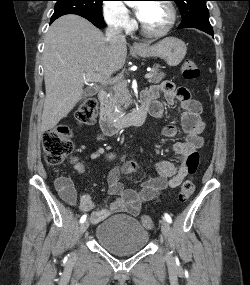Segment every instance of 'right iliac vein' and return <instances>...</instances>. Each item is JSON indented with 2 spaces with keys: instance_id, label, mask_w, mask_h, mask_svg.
Instances as JSON below:
<instances>
[{
  "instance_id": "1",
  "label": "right iliac vein",
  "mask_w": 250,
  "mask_h": 285,
  "mask_svg": "<svg viewBox=\"0 0 250 285\" xmlns=\"http://www.w3.org/2000/svg\"><path fill=\"white\" fill-rule=\"evenodd\" d=\"M89 227V222L84 221L79 228V235H82Z\"/></svg>"
}]
</instances>
